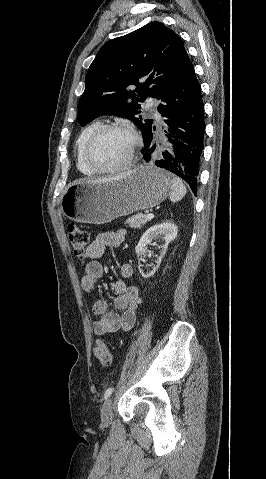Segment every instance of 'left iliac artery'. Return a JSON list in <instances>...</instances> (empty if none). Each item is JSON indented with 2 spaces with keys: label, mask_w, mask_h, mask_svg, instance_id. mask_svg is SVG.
<instances>
[{
  "label": "left iliac artery",
  "mask_w": 266,
  "mask_h": 479,
  "mask_svg": "<svg viewBox=\"0 0 266 479\" xmlns=\"http://www.w3.org/2000/svg\"><path fill=\"white\" fill-rule=\"evenodd\" d=\"M113 391H114V388H113V387L107 388L106 391H105V393H104V399H105V400L108 399V398L111 396V394H112Z\"/></svg>",
  "instance_id": "left-iliac-artery-1"
}]
</instances>
